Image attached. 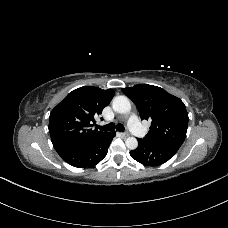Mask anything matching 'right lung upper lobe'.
<instances>
[{"instance_id": "cb5924a9", "label": "right lung upper lobe", "mask_w": 228, "mask_h": 228, "mask_svg": "<svg viewBox=\"0 0 228 228\" xmlns=\"http://www.w3.org/2000/svg\"><path fill=\"white\" fill-rule=\"evenodd\" d=\"M112 89L84 86L70 92L52 111L49 132L56 151L94 141L105 132L92 129L95 117L112 100Z\"/></svg>"}]
</instances>
